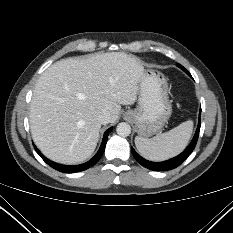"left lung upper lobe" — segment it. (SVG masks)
Instances as JSON below:
<instances>
[{
    "label": "left lung upper lobe",
    "mask_w": 233,
    "mask_h": 233,
    "mask_svg": "<svg viewBox=\"0 0 233 233\" xmlns=\"http://www.w3.org/2000/svg\"><path fill=\"white\" fill-rule=\"evenodd\" d=\"M178 67H180L182 70H184L186 73L188 72L182 65L177 64Z\"/></svg>",
    "instance_id": "obj_1"
}]
</instances>
